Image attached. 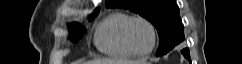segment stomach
Listing matches in <instances>:
<instances>
[{"label": "stomach", "mask_w": 242, "mask_h": 64, "mask_svg": "<svg viewBox=\"0 0 242 64\" xmlns=\"http://www.w3.org/2000/svg\"><path fill=\"white\" fill-rule=\"evenodd\" d=\"M139 64H148V63H146V62H141V63H139Z\"/></svg>", "instance_id": "obj_1"}]
</instances>
